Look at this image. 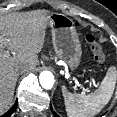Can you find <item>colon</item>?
<instances>
[{
  "instance_id": "obj_1",
  "label": "colon",
  "mask_w": 117,
  "mask_h": 117,
  "mask_svg": "<svg viewBox=\"0 0 117 117\" xmlns=\"http://www.w3.org/2000/svg\"><path fill=\"white\" fill-rule=\"evenodd\" d=\"M86 40L90 45L93 59L95 60L97 65L104 66L106 60L105 54L101 45L97 42L96 37L93 34H87Z\"/></svg>"
}]
</instances>
